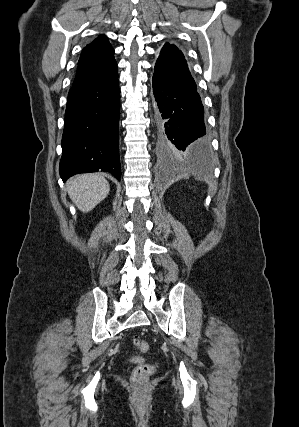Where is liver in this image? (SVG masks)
Listing matches in <instances>:
<instances>
[{
    "label": "liver",
    "instance_id": "1",
    "mask_svg": "<svg viewBox=\"0 0 299 427\" xmlns=\"http://www.w3.org/2000/svg\"><path fill=\"white\" fill-rule=\"evenodd\" d=\"M66 187L70 199L82 212L91 211L110 191L104 176L95 173L78 175L70 179Z\"/></svg>",
    "mask_w": 299,
    "mask_h": 427
}]
</instances>
